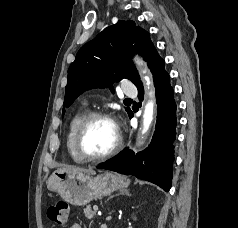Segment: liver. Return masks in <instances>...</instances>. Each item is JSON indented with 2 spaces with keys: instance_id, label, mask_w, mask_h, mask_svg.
<instances>
[{
  "instance_id": "obj_1",
  "label": "liver",
  "mask_w": 238,
  "mask_h": 228,
  "mask_svg": "<svg viewBox=\"0 0 238 228\" xmlns=\"http://www.w3.org/2000/svg\"><path fill=\"white\" fill-rule=\"evenodd\" d=\"M62 170L67 171V172L94 173L93 169H91V168L84 169V168H80V167H67V168H64Z\"/></svg>"
}]
</instances>
